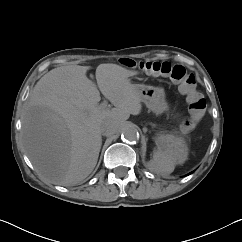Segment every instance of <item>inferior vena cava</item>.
Here are the masks:
<instances>
[{
	"label": "inferior vena cava",
	"instance_id": "602c4592",
	"mask_svg": "<svg viewBox=\"0 0 242 242\" xmlns=\"http://www.w3.org/2000/svg\"><path fill=\"white\" fill-rule=\"evenodd\" d=\"M118 124L115 118L113 117H106L103 119L101 124V130L105 134L111 135L117 131Z\"/></svg>",
	"mask_w": 242,
	"mask_h": 242
}]
</instances>
